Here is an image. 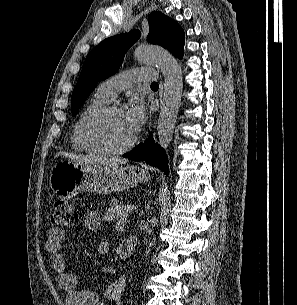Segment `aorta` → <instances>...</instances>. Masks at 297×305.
<instances>
[{"mask_svg": "<svg viewBox=\"0 0 297 305\" xmlns=\"http://www.w3.org/2000/svg\"><path fill=\"white\" fill-rule=\"evenodd\" d=\"M137 60L155 65L164 75V94L157 125L159 144L166 151L172 140L183 90L182 70L176 59L166 50L140 45L134 50Z\"/></svg>", "mask_w": 297, "mask_h": 305, "instance_id": "aorta-1", "label": "aorta"}]
</instances>
